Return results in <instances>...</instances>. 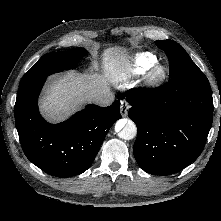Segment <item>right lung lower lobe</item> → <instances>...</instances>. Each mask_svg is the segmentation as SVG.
<instances>
[{"mask_svg":"<svg viewBox=\"0 0 221 221\" xmlns=\"http://www.w3.org/2000/svg\"><path fill=\"white\" fill-rule=\"evenodd\" d=\"M45 80L19 86L15 120L22 149L47 174H81L91 166L113 123L121 118L120 101L108 107L89 104L67 121L52 125L41 117L37 105Z\"/></svg>","mask_w":221,"mask_h":221,"instance_id":"obj_1","label":"right lung lower lobe"}]
</instances>
